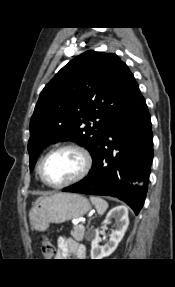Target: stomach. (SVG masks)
Returning <instances> with one entry per match:
<instances>
[{
  "label": "stomach",
  "mask_w": 175,
  "mask_h": 287,
  "mask_svg": "<svg viewBox=\"0 0 175 287\" xmlns=\"http://www.w3.org/2000/svg\"><path fill=\"white\" fill-rule=\"evenodd\" d=\"M90 208L88 199L80 194H53L35 203L29 213L30 224L37 231H45L51 223L60 224L79 218Z\"/></svg>",
  "instance_id": "0dacf381"
}]
</instances>
